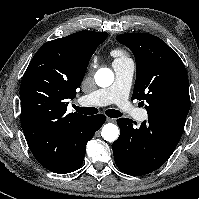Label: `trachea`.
Here are the masks:
<instances>
[{
  "mask_svg": "<svg viewBox=\"0 0 199 199\" xmlns=\"http://www.w3.org/2000/svg\"><path fill=\"white\" fill-rule=\"evenodd\" d=\"M73 108L80 114L93 115L98 113V109L95 107H78L76 105H73ZM105 114L110 118H118L122 116V113L120 111L114 109L106 110Z\"/></svg>",
  "mask_w": 199,
  "mask_h": 199,
  "instance_id": "3493384b",
  "label": "trachea"
}]
</instances>
